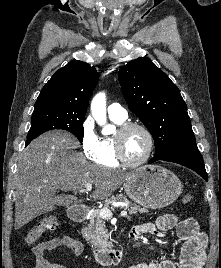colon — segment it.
I'll return each instance as SVG.
<instances>
[{"label":"colon","instance_id":"obj_1","mask_svg":"<svg viewBox=\"0 0 221 268\" xmlns=\"http://www.w3.org/2000/svg\"><path fill=\"white\" fill-rule=\"evenodd\" d=\"M194 200L192 195H185L182 199L184 204H188ZM58 226V218L54 215L47 216L38 222L26 235V242L28 244H35L41 236L49 231L53 230Z\"/></svg>","mask_w":221,"mask_h":268}]
</instances>
